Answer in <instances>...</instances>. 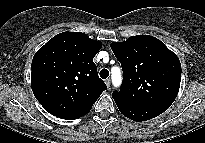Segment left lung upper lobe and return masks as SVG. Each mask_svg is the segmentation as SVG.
<instances>
[{
	"mask_svg": "<svg viewBox=\"0 0 205 143\" xmlns=\"http://www.w3.org/2000/svg\"><path fill=\"white\" fill-rule=\"evenodd\" d=\"M110 46L124 73L120 91L112 94L115 101L130 106L174 102L180 88L181 64L163 42L138 35Z\"/></svg>",
	"mask_w": 205,
	"mask_h": 143,
	"instance_id": "obj_1",
	"label": "left lung upper lobe"
}]
</instances>
